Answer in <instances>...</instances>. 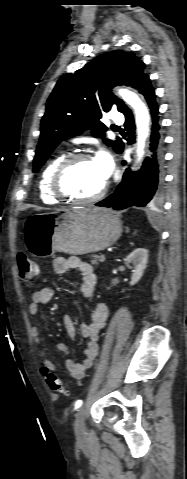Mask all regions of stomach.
I'll return each instance as SVG.
<instances>
[{
	"label": "stomach",
	"mask_w": 187,
	"mask_h": 479,
	"mask_svg": "<svg viewBox=\"0 0 187 479\" xmlns=\"http://www.w3.org/2000/svg\"><path fill=\"white\" fill-rule=\"evenodd\" d=\"M121 233V220L111 210L92 206L36 213L24 223L26 246L41 258L56 252H98L114 244Z\"/></svg>",
	"instance_id": "stomach-1"
}]
</instances>
